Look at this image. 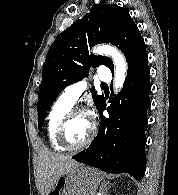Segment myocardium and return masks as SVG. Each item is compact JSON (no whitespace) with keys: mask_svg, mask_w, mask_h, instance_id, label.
<instances>
[{"mask_svg":"<svg viewBox=\"0 0 178 195\" xmlns=\"http://www.w3.org/2000/svg\"><path fill=\"white\" fill-rule=\"evenodd\" d=\"M79 115H87L89 116V112L84 109V108H72L70 109L66 115L64 116V118L62 119V121L60 122L58 129H57V134H56V138L58 143L64 147L66 150L69 151H80L84 148H86L87 146H89L91 144V142L93 141V139L95 138L96 135V124L94 121L91 120V131L90 134L88 136V138L80 145L77 146H72L70 145L67 140H66V130L67 127L69 125V123L76 117Z\"/></svg>","mask_w":178,"mask_h":195,"instance_id":"1","label":"myocardium"}]
</instances>
